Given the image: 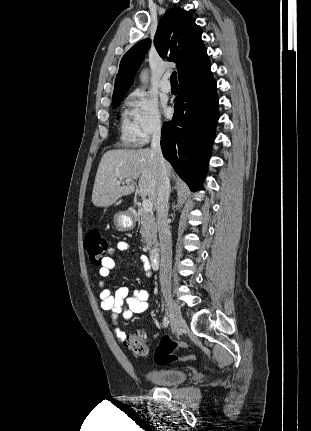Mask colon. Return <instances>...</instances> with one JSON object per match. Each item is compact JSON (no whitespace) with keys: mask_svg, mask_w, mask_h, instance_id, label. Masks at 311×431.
<instances>
[{"mask_svg":"<svg viewBox=\"0 0 311 431\" xmlns=\"http://www.w3.org/2000/svg\"><path fill=\"white\" fill-rule=\"evenodd\" d=\"M85 250L89 260L97 266H101L103 259L109 249V244L98 231L90 232L85 240ZM124 347L138 356L148 353L146 344V334L143 331H136L123 340ZM183 342H177L169 336H164L157 346L154 353V361L157 365H167L176 361H193L194 355H175L174 351L178 348H187Z\"/></svg>","mask_w":311,"mask_h":431,"instance_id":"1","label":"colon"}]
</instances>
